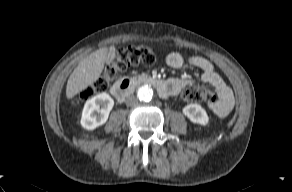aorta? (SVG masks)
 I'll list each match as a JSON object with an SVG mask.
<instances>
[{
	"label": "aorta",
	"mask_w": 292,
	"mask_h": 192,
	"mask_svg": "<svg viewBox=\"0 0 292 192\" xmlns=\"http://www.w3.org/2000/svg\"><path fill=\"white\" fill-rule=\"evenodd\" d=\"M138 98L143 102H149L153 97V90L149 85H142L137 91Z\"/></svg>",
	"instance_id": "1"
}]
</instances>
